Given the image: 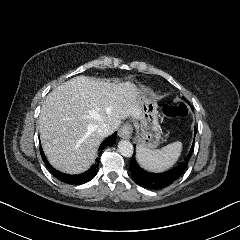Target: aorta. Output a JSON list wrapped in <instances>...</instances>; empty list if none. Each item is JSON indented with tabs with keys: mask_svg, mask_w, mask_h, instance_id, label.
<instances>
[{
	"mask_svg": "<svg viewBox=\"0 0 240 240\" xmlns=\"http://www.w3.org/2000/svg\"><path fill=\"white\" fill-rule=\"evenodd\" d=\"M118 150L124 157H131L133 154V145L128 140H121L118 143Z\"/></svg>",
	"mask_w": 240,
	"mask_h": 240,
	"instance_id": "762f6f07",
	"label": "aorta"
}]
</instances>
